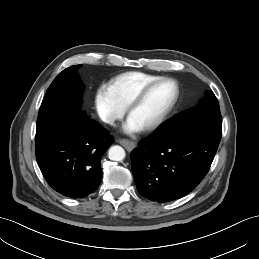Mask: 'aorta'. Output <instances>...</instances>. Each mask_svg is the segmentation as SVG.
I'll return each mask as SVG.
<instances>
[{"instance_id":"762f6f07","label":"aorta","mask_w":259,"mask_h":259,"mask_svg":"<svg viewBox=\"0 0 259 259\" xmlns=\"http://www.w3.org/2000/svg\"><path fill=\"white\" fill-rule=\"evenodd\" d=\"M108 156L110 160L122 161L125 158V150L121 146H112L109 149Z\"/></svg>"}]
</instances>
